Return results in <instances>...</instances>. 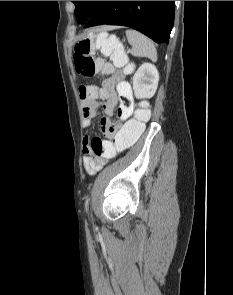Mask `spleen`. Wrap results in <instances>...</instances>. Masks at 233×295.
<instances>
[{"label": "spleen", "mask_w": 233, "mask_h": 295, "mask_svg": "<svg viewBox=\"0 0 233 295\" xmlns=\"http://www.w3.org/2000/svg\"><path fill=\"white\" fill-rule=\"evenodd\" d=\"M128 42L132 45L131 53L134 56L148 57L152 61L157 60V51L153 42L144 34L136 30H126ZM97 46L101 48V52L110 56L115 65L121 64L124 58V49L122 43L111 35L107 38L105 33H101L97 37Z\"/></svg>", "instance_id": "spleen-1"}]
</instances>
